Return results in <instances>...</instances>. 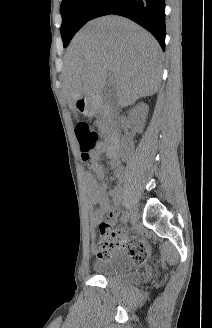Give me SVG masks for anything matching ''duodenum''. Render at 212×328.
Returning <instances> with one entry per match:
<instances>
[{
  "mask_svg": "<svg viewBox=\"0 0 212 328\" xmlns=\"http://www.w3.org/2000/svg\"><path fill=\"white\" fill-rule=\"evenodd\" d=\"M81 104L83 105V108L89 113V114H98L101 112L109 114V110L106 108H103L97 101L95 100H81ZM119 151H120V137L117 132L112 133L108 136L106 139V142L104 144V152L108 157H110L113 161H117L119 157Z\"/></svg>",
  "mask_w": 212,
  "mask_h": 328,
  "instance_id": "1",
  "label": "duodenum"
}]
</instances>
